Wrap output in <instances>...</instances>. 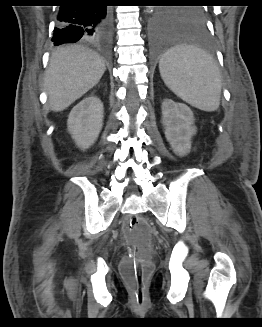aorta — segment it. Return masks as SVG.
<instances>
[{"label": "aorta", "mask_w": 262, "mask_h": 327, "mask_svg": "<svg viewBox=\"0 0 262 327\" xmlns=\"http://www.w3.org/2000/svg\"><path fill=\"white\" fill-rule=\"evenodd\" d=\"M147 12H149V13L153 12V8L152 7H148Z\"/></svg>", "instance_id": "762f6f07"}]
</instances>
